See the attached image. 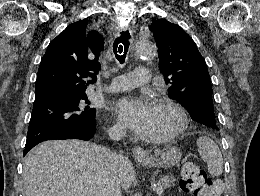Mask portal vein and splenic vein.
<instances>
[{"mask_svg": "<svg viewBox=\"0 0 260 196\" xmlns=\"http://www.w3.org/2000/svg\"><path fill=\"white\" fill-rule=\"evenodd\" d=\"M155 190L157 191L158 196H161V193H162L163 187H162V186H156V187H155Z\"/></svg>", "mask_w": 260, "mask_h": 196, "instance_id": "18ae733b", "label": "portal vein and splenic vein"}]
</instances>
